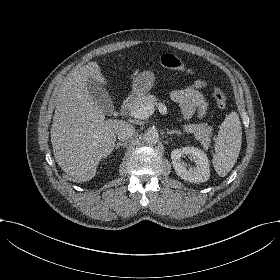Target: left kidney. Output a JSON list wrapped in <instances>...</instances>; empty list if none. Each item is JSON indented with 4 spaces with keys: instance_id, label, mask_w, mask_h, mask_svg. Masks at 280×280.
<instances>
[{
    "instance_id": "1",
    "label": "left kidney",
    "mask_w": 280,
    "mask_h": 280,
    "mask_svg": "<svg viewBox=\"0 0 280 280\" xmlns=\"http://www.w3.org/2000/svg\"><path fill=\"white\" fill-rule=\"evenodd\" d=\"M188 156L195 163L194 167L188 166L182 158ZM172 165L175 172L183 180L192 183L206 182L210 178V169L207 155L195 147H183L171 152Z\"/></svg>"
}]
</instances>
